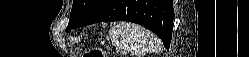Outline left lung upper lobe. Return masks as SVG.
I'll list each match as a JSON object with an SVG mask.
<instances>
[{
	"mask_svg": "<svg viewBox=\"0 0 249 57\" xmlns=\"http://www.w3.org/2000/svg\"><path fill=\"white\" fill-rule=\"evenodd\" d=\"M109 0H74L67 30L79 27L98 13Z\"/></svg>",
	"mask_w": 249,
	"mask_h": 57,
	"instance_id": "left-lung-upper-lobe-1",
	"label": "left lung upper lobe"
}]
</instances>
